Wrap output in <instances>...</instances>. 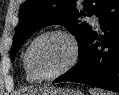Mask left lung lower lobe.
<instances>
[{
    "mask_svg": "<svg viewBox=\"0 0 119 95\" xmlns=\"http://www.w3.org/2000/svg\"><path fill=\"white\" fill-rule=\"evenodd\" d=\"M96 15L102 34L91 28L79 45V62L53 83L79 82L119 93V0H107Z\"/></svg>",
    "mask_w": 119,
    "mask_h": 95,
    "instance_id": "1",
    "label": "left lung lower lobe"
}]
</instances>
